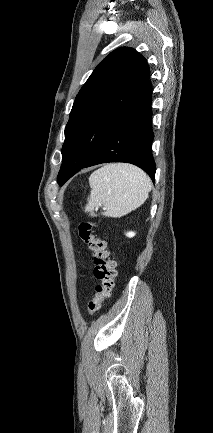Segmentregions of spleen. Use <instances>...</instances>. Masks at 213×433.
Segmentation results:
<instances>
[{
  "label": "spleen",
  "instance_id": "spleen-1",
  "mask_svg": "<svg viewBox=\"0 0 213 433\" xmlns=\"http://www.w3.org/2000/svg\"><path fill=\"white\" fill-rule=\"evenodd\" d=\"M85 212L103 206L104 216L120 218L140 207L148 198L152 184L144 171L124 163L108 164L93 172Z\"/></svg>",
  "mask_w": 213,
  "mask_h": 433
}]
</instances>
